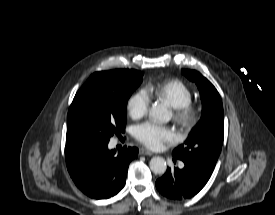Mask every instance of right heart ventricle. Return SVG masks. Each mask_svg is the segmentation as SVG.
I'll use <instances>...</instances> for the list:
<instances>
[{"label": "right heart ventricle", "mask_w": 275, "mask_h": 215, "mask_svg": "<svg viewBox=\"0 0 275 215\" xmlns=\"http://www.w3.org/2000/svg\"><path fill=\"white\" fill-rule=\"evenodd\" d=\"M152 97L166 101L172 108H179L189 104L192 100L190 88L179 79H166L147 87Z\"/></svg>", "instance_id": "1"}]
</instances>
